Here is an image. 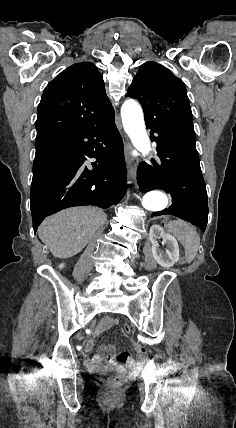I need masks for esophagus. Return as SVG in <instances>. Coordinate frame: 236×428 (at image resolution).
<instances>
[{
    "label": "esophagus",
    "instance_id": "1",
    "mask_svg": "<svg viewBox=\"0 0 236 428\" xmlns=\"http://www.w3.org/2000/svg\"><path fill=\"white\" fill-rule=\"evenodd\" d=\"M126 149L131 151L132 146L130 143H126ZM129 175L132 180H136V168H135V158H129Z\"/></svg>",
    "mask_w": 236,
    "mask_h": 428
}]
</instances>
